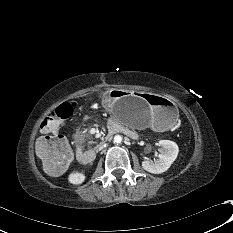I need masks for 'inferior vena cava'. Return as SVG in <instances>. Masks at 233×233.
<instances>
[{"instance_id":"602c4592","label":"inferior vena cava","mask_w":233,"mask_h":233,"mask_svg":"<svg viewBox=\"0 0 233 233\" xmlns=\"http://www.w3.org/2000/svg\"><path fill=\"white\" fill-rule=\"evenodd\" d=\"M102 148H103L102 146L99 147L100 150H101Z\"/></svg>"}]
</instances>
